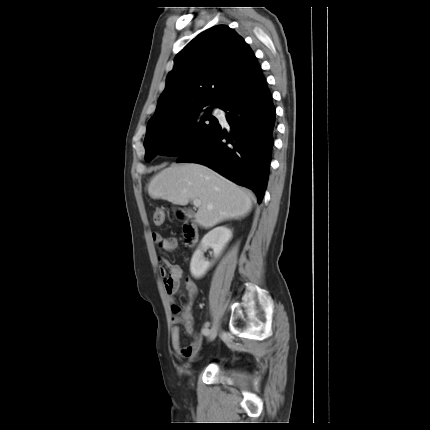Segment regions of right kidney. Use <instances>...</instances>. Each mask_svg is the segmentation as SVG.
I'll return each instance as SVG.
<instances>
[{
  "label": "right kidney",
  "instance_id": "1",
  "mask_svg": "<svg viewBox=\"0 0 430 430\" xmlns=\"http://www.w3.org/2000/svg\"><path fill=\"white\" fill-rule=\"evenodd\" d=\"M232 238V231L226 226H219L209 231L201 240L199 247L194 252L190 262L191 275L196 278H202L214 261L209 262L203 256V249L211 247L216 260Z\"/></svg>",
  "mask_w": 430,
  "mask_h": 430
}]
</instances>
